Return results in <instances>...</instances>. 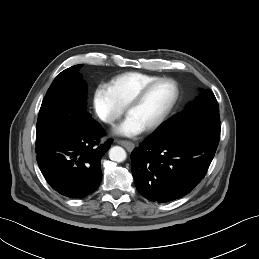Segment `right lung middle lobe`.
Here are the masks:
<instances>
[{"label": "right lung middle lobe", "mask_w": 259, "mask_h": 259, "mask_svg": "<svg viewBox=\"0 0 259 259\" xmlns=\"http://www.w3.org/2000/svg\"><path fill=\"white\" fill-rule=\"evenodd\" d=\"M81 67L62 71L47 90L38 115L36 140L57 126L78 127L91 120L85 110L87 86L78 72Z\"/></svg>", "instance_id": "1"}]
</instances>
